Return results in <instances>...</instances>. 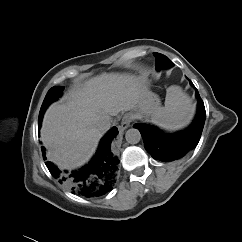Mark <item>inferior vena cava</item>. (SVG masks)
<instances>
[{
  "label": "inferior vena cava",
  "instance_id": "602c4592",
  "mask_svg": "<svg viewBox=\"0 0 242 242\" xmlns=\"http://www.w3.org/2000/svg\"><path fill=\"white\" fill-rule=\"evenodd\" d=\"M110 125H111V117L108 115L101 116L96 122V127L100 131H106L107 129L110 128Z\"/></svg>",
  "mask_w": 242,
  "mask_h": 242
}]
</instances>
